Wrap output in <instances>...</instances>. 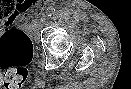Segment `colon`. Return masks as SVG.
Returning <instances> with one entry per match:
<instances>
[{
    "label": "colon",
    "instance_id": "5ec220e1",
    "mask_svg": "<svg viewBox=\"0 0 131 89\" xmlns=\"http://www.w3.org/2000/svg\"><path fill=\"white\" fill-rule=\"evenodd\" d=\"M7 5V9L4 6ZM29 5L23 9L11 0H0V20L10 17H18L23 25L32 24L36 15L27 13ZM33 44L30 37L20 29L6 31L0 37V83L7 88L15 89L21 87L27 78L26 66L33 57Z\"/></svg>",
    "mask_w": 131,
    "mask_h": 89
}]
</instances>
